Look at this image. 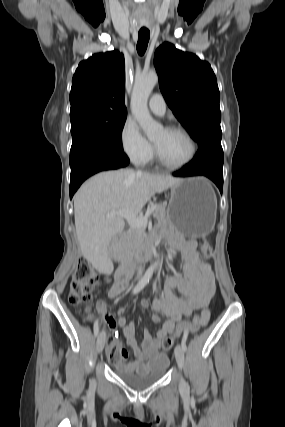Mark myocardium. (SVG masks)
<instances>
[{
	"instance_id": "1",
	"label": "myocardium",
	"mask_w": 285,
	"mask_h": 427,
	"mask_svg": "<svg viewBox=\"0 0 285 427\" xmlns=\"http://www.w3.org/2000/svg\"><path fill=\"white\" fill-rule=\"evenodd\" d=\"M165 130L170 131V132H177V133H180L183 136H185V138L188 140V142L190 144L189 155L184 161H182L178 164H171V163L166 162L161 157L157 146L153 143L155 158H156L158 164L160 166L166 168V169H169V170L182 169V168L186 167L187 165H189L194 160L196 153H197V144H196L193 136L190 134V132L181 126H169V127H166Z\"/></svg>"
}]
</instances>
